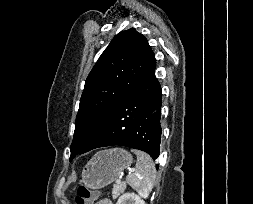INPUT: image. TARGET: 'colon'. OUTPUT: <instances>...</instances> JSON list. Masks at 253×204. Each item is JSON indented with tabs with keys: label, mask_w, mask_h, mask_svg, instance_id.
Returning a JSON list of instances; mask_svg holds the SVG:
<instances>
[{
	"label": "colon",
	"mask_w": 253,
	"mask_h": 204,
	"mask_svg": "<svg viewBox=\"0 0 253 204\" xmlns=\"http://www.w3.org/2000/svg\"><path fill=\"white\" fill-rule=\"evenodd\" d=\"M98 198V193L85 185H81L78 188L77 196L75 198V204H95Z\"/></svg>",
	"instance_id": "colon-1"
}]
</instances>
